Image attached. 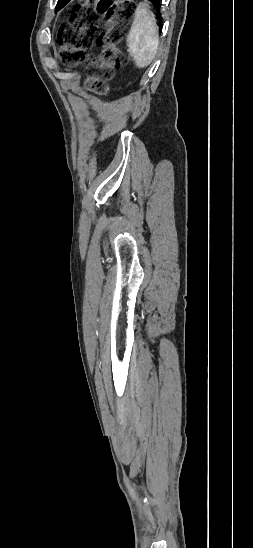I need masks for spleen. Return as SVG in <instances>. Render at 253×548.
<instances>
[{
    "label": "spleen",
    "instance_id": "obj_1",
    "mask_svg": "<svg viewBox=\"0 0 253 548\" xmlns=\"http://www.w3.org/2000/svg\"><path fill=\"white\" fill-rule=\"evenodd\" d=\"M127 43L138 68L151 64L157 53L159 36L155 15L145 3H140L135 11Z\"/></svg>",
    "mask_w": 253,
    "mask_h": 548
}]
</instances>
